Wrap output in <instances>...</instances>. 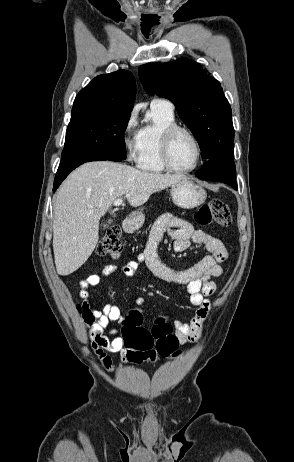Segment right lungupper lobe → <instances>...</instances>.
<instances>
[{"mask_svg": "<svg viewBox=\"0 0 294 462\" xmlns=\"http://www.w3.org/2000/svg\"><path fill=\"white\" fill-rule=\"evenodd\" d=\"M136 94L131 72L118 70L95 77L75 98L72 109H112L131 112Z\"/></svg>", "mask_w": 294, "mask_h": 462, "instance_id": "1", "label": "right lung upper lobe"}]
</instances>
